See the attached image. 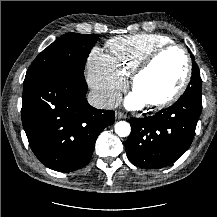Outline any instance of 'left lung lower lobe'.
I'll list each match as a JSON object with an SVG mask.
<instances>
[{"label": "left lung lower lobe", "instance_id": "left-lung-lower-lobe-1", "mask_svg": "<svg viewBox=\"0 0 217 217\" xmlns=\"http://www.w3.org/2000/svg\"><path fill=\"white\" fill-rule=\"evenodd\" d=\"M201 110V96L184 93L156 115L131 118V134L125 144L130 162L145 169L174 163L191 145Z\"/></svg>", "mask_w": 217, "mask_h": 217}]
</instances>
